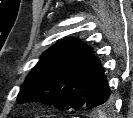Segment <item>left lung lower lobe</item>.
Returning a JSON list of instances; mask_svg holds the SVG:
<instances>
[{
    "instance_id": "0a47b994",
    "label": "left lung lower lobe",
    "mask_w": 133,
    "mask_h": 118,
    "mask_svg": "<svg viewBox=\"0 0 133 118\" xmlns=\"http://www.w3.org/2000/svg\"><path fill=\"white\" fill-rule=\"evenodd\" d=\"M111 101L110 98V89L108 86L107 78L103 72L99 81L96 83L95 87L91 91L85 107L94 108V107H107Z\"/></svg>"
}]
</instances>
